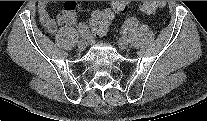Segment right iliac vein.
<instances>
[{"label":"right iliac vein","mask_w":207,"mask_h":121,"mask_svg":"<svg viewBox=\"0 0 207 121\" xmlns=\"http://www.w3.org/2000/svg\"><path fill=\"white\" fill-rule=\"evenodd\" d=\"M87 47V42L86 40L82 39L78 42V49L80 51L84 50Z\"/></svg>","instance_id":"right-iliac-vein-1"}]
</instances>
